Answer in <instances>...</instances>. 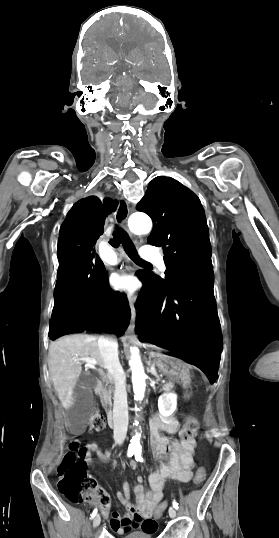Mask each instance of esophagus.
Returning a JSON list of instances; mask_svg holds the SVG:
<instances>
[{"label": "esophagus", "mask_w": 279, "mask_h": 538, "mask_svg": "<svg viewBox=\"0 0 279 538\" xmlns=\"http://www.w3.org/2000/svg\"><path fill=\"white\" fill-rule=\"evenodd\" d=\"M128 217H129L128 202L124 200L123 198H120L118 202V207L115 213V221L119 226L124 228L128 220ZM130 308H131V322L126 332V336H129V337L134 336V328H135V307H134L133 301H131L130 303Z\"/></svg>", "instance_id": "1"}]
</instances>
